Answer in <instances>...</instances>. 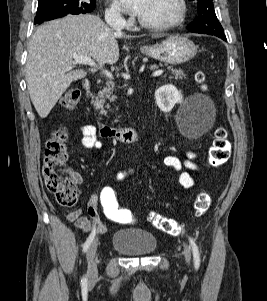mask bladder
I'll return each instance as SVG.
<instances>
[{"label": "bladder", "instance_id": "obj_1", "mask_svg": "<svg viewBox=\"0 0 267 301\" xmlns=\"http://www.w3.org/2000/svg\"><path fill=\"white\" fill-rule=\"evenodd\" d=\"M113 249L128 256H146L157 249V239L147 230L122 228L112 237Z\"/></svg>", "mask_w": 267, "mask_h": 301}]
</instances>
